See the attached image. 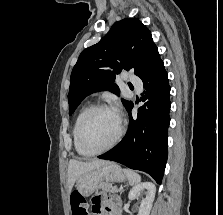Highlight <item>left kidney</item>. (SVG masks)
Masks as SVG:
<instances>
[{
  "instance_id": "left-kidney-1",
  "label": "left kidney",
  "mask_w": 223,
  "mask_h": 215,
  "mask_svg": "<svg viewBox=\"0 0 223 215\" xmlns=\"http://www.w3.org/2000/svg\"><path fill=\"white\" fill-rule=\"evenodd\" d=\"M145 189H147V195L141 201L138 215H149L152 203L154 201L156 187L154 183H151V181H144V183H138V185H134V187H132L128 193L129 199H135L137 193H141V191H145Z\"/></svg>"
}]
</instances>
